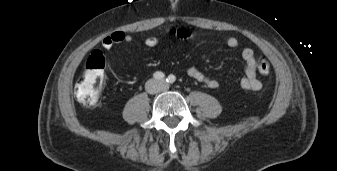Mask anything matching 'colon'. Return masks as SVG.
Returning a JSON list of instances; mask_svg holds the SVG:
<instances>
[{
    "instance_id": "obj_1",
    "label": "colon",
    "mask_w": 337,
    "mask_h": 171,
    "mask_svg": "<svg viewBox=\"0 0 337 171\" xmlns=\"http://www.w3.org/2000/svg\"><path fill=\"white\" fill-rule=\"evenodd\" d=\"M178 38H186L188 34L182 29L171 31ZM256 67L261 74L270 70L268 60L260 56L256 60ZM105 59L103 54L94 50L88 57L82 77L75 85V96L80 104L85 107H97L101 102V91L104 84Z\"/></svg>"
}]
</instances>
